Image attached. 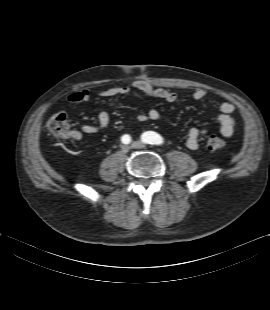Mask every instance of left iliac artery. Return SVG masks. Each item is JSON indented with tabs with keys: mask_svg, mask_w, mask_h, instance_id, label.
Wrapping results in <instances>:
<instances>
[{
	"mask_svg": "<svg viewBox=\"0 0 270 310\" xmlns=\"http://www.w3.org/2000/svg\"><path fill=\"white\" fill-rule=\"evenodd\" d=\"M141 140L146 144L151 145H161L163 143V138L153 131H148L142 134Z\"/></svg>",
	"mask_w": 270,
	"mask_h": 310,
	"instance_id": "obj_1",
	"label": "left iliac artery"
}]
</instances>
